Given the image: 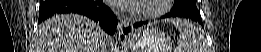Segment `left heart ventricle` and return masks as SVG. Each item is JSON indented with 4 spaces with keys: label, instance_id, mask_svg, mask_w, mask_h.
Wrapping results in <instances>:
<instances>
[{
    "label": "left heart ventricle",
    "instance_id": "1",
    "mask_svg": "<svg viewBox=\"0 0 261 52\" xmlns=\"http://www.w3.org/2000/svg\"><path fill=\"white\" fill-rule=\"evenodd\" d=\"M159 0L144 1L142 4L147 8H154L158 5Z\"/></svg>",
    "mask_w": 261,
    "mask_h": 52
}]
</instances>
